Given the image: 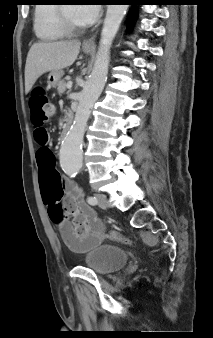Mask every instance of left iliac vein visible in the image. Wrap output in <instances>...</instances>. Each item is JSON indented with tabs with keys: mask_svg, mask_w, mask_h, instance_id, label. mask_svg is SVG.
<instances>
[{
	"mask_svg": "<svg viewBox=\"0 0 213 338\" xmlns=\"http://www.w3.org/2000/svg\"><path fill=\"white\" fill-rule=\"evenodd\" d=\"M96 198L98 200V206L102 209H108L109 208V202L107 197L104 194H97Z\"/></svg>",
	"mask_w": 213,
	"mask_h": 338,
	"instance_id": "4c4485c4",
	"label": "left iliac vein"
}]
</instances>
